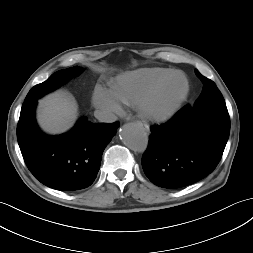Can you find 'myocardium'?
<instances>
[{
    "label": "myocardium",
    "mask_w": 253,
    "mask_h": 253,
    "mask_svg": "<svg viewBox=\"0 0 253 253\" xmlns=\"http://www.w3.org/2000/svg\"><path fill=\"white\" fill-rule=\"evenodd\" d=\"M184 80L183 90L168 104L160 106L161 98L171 83L177 79ZM190 89L188 78L182 72H174L168 78L155 86L141 101L140 111L142 115L154 122H165L172 118L179 110L183 102L188 96Z\"/></svg>",
    "instance_id": "obj_1"
}]
</instances>
